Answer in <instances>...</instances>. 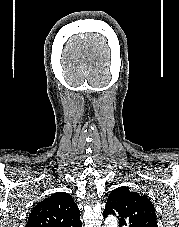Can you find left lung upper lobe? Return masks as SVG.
Here are the masks:
<instances>
[{"instance_id":"5c2ea615","label":"left lung upper lobe","mask_w":179,"mask_h":227,"mask_svg":"<svg viewBox=\"0 0 179 227\" xmlns=\"http://www.w3.org/2000/svg\"><path fill=\"white\" fill-rule=\"evenodd\" d=\"M117 216L119 227H158L152 202L122 186L111 191L103 216Z\"/></svg>"}]
</instances>
